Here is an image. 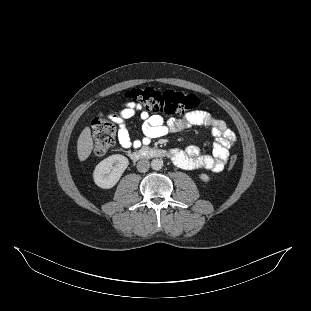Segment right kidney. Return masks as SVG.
<instances>
[{"mask_svg":"<svg viewBox=\"0 0 311 311\" xmlns=\"http://www.w3.org/2000/svg\"><path fill=\"white\" fill-rule=\"evenodd\" d=\"M128 163V159L121 154H114L107 157L95 168V183L102 188L114 186L127 168Z\"/></svg>","mask_w":311,"mask_h":311,"instance_id":"obj_1","label":"right kidney"}]
</instances>
